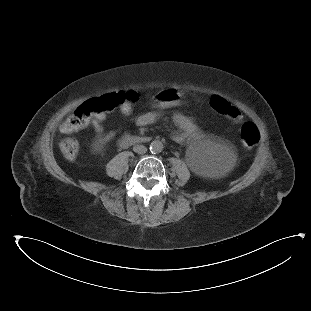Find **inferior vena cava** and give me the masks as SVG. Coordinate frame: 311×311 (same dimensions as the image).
<instances>
[{
    "mask_svg": "<svg viewBox=\"0 0 311 311\" xmlns=\"http://www.w3.org/2000/svg\"><path fill=\"white\" fill-rule=\"evenodd\" d=\"M133 151L138 154H145L147 152V148L144 145H135L133 147Z\"/></svg>",
    "mask_w": 311,
    "mask_h": 311,
    "instance_id": "1",
    "label": "inferior vena cava"
}]
</instances>
